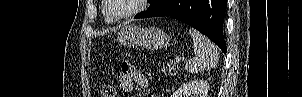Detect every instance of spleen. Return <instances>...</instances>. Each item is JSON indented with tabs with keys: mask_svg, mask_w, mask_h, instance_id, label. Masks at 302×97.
Wrapping results in <instances>:
<instances>
[{
	"mask_svg": "<svg viewBox=\"0 0 302 97\" xmlns=\"http://www.w3.org/2000/svg\"><path fill=\"white\" fill-rule=\"evenodd\" d=\"M189 33L193 39L195 57L186 62V71L201 73L215 67L219 61L217 46L196 29L190 28Z\"/></svg>",
	"mask_w": 302,
	"mask_h": 97,
	"instance_id": "3e777b00",
	"label": "spleen"
}]
</instances>
